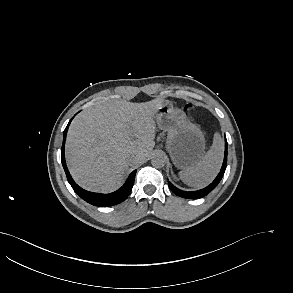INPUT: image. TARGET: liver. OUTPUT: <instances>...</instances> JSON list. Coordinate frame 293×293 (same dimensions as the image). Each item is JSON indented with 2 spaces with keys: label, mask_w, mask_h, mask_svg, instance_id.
I'll use <instances>...</instances> for the list:
<instances>
[{
  "label": "liver",
  "mask_w": 293,
  "mask_h": 293,
  "mask_svg": "<svg viewBox=\"0 0 293 293\" xmlns=\"http://www.w3.org/2000/svg\"><path fill=\"white\" fill-rule=\"evenodd\" d=\"M163 103L160 98L143 103L114 101L80 112L70 125L65 144L74 180L89 191L117 189L132 166L129 157L139 155L143 161L154 148V118Z\"/></svg>",
  "instance_id": "6515ba94"
}]
</instances>
